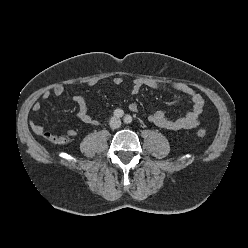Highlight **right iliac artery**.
Here are the masks:
<instances>
[{"mask_svg": "<svg viewBox=\"0 0 248 248\" xmlns=\"http://www.w3.org/2000/svg\"><path fill=\"white\" fill-rule=\"evenodd\" d=\"M124 115V112H123V110H121V109H116L115 111H114V116H116V117H122Z\"/></svg>", "mask_w": 248, "mask_h": 248, "instance_id": "1", "label": "right iliac artery"}]
</instances>
